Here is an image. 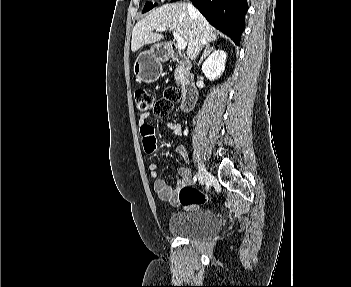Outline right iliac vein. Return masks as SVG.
I'll list each match as a JSON object with an SVG mask.
<instances>
[{"mask_svg": "<svg viewBox=\"0 0 351 287\" xmlns=\"http://www.w3.org/2000/svg\"><path fill=\"white\" fill-rule=\"evenodd\" d=\"M209 174L207 169L202 163H199V171H198V178L200 184H204L205 180L208 178Z\"/></svg>", "mask_w": 351, "mask_h": 287, "instance_id": "63e3f726", "label": "right iliac vein"}]
</instances>
